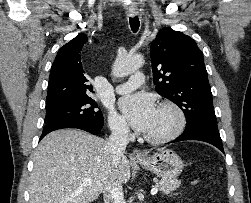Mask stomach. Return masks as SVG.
<instances>
[{
    "label": "stomach",
    "instance_id": "obj_1",
    "mask_svg": "<svg viewBox=\"0 0 251 203\" xmlns=\"http://www.w3.org/2000/svg\"><path fill=\"white\" fill-rule=\"evenodd\" d=\"M136 163L164 179L178 177L184 168L182 159L175 152L168 149H161L153 156L136 161Z\"/></svg>",
    "mask_w": 251,
    "mask_h": 203
}]
</instances>
